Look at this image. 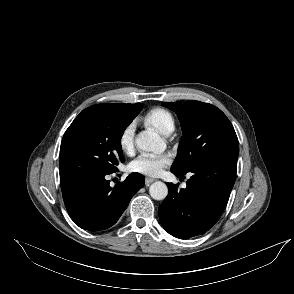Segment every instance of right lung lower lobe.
<instances>
[{
    "instance_id": "right-lung-lower-lobe-1",
    "label": "right lung lower lobe",
    "mask_w": 294,
    "mask_h": 294,
    "mask_svg": "<svg viewBox=\"0 0 294 294\" xmlns=\"http://www.w3.org/2000/svg\"><path fill=\"white\" fill-rule=\"evenodd\" d=\"M106 175L95 172L60 178L66 209L83 229L98 231L114 225L133 195L144 186V177L136 172L114 188L110 187Z\"/></svg>"
}]
</instances>
